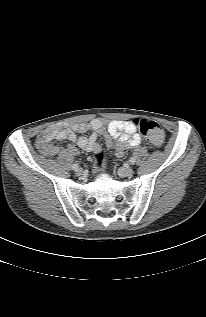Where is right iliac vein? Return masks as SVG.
<instances>
[{
    "mask_svg": "<svg viewBox=\"0 0 206 317\" xmlns=\"http://www.w3.org/2000/svg\"><path fill=\"white\" fill-rule=\"evenodd\" d=\"M76 175L77 176H81L83 175V170L81 168H78L76 171H75Z\"/></svg>",
    "mask_w": 206,
    "mask_h": 317,
    "instance_id": "63e3f726",
    "label": "right iliac vein"
}]
</instances>
